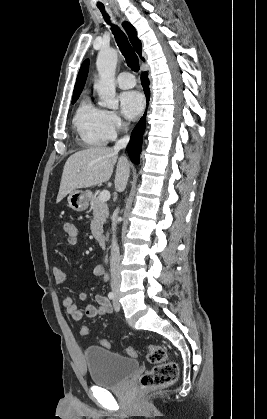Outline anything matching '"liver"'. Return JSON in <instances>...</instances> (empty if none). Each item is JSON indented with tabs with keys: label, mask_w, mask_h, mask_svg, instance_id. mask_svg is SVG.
Listing matches in <instances>:
<instances>
[{
	"label": "liver",
	"mask_w": 267,
	"mask_h": 419,
	"mask_svg": "<svg viewBox=\"0 0 267 419\" xmlns=\"http://www.w3.org/2000/svg\"><path fill=\"white\" fill-rule=\"evenodd\" d=\"M117 162L115 188L123 191L129 177L130 165L125 156L109 147H90L71 155L64 166L57 202L80 188H88L110 179Z\"/></svg>",
	"instance_id": "liver-1"
}]
</instances>
